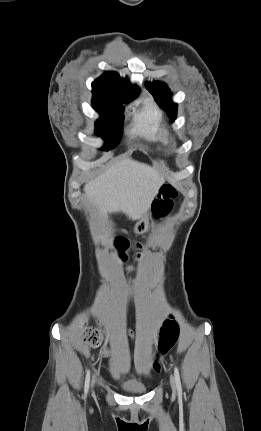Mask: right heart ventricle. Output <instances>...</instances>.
Masks as SVG:
<instances>
[{
	"mask_svg": "<svg viewBox=\"0 0 261 431\" xmlns=\"http://www.w3.org/2000/svg\"><path fill=\"white\" fill-rule=\"evenodd\" d=\"M133 133L159 149L169 144V134L164 125L162 112L151 101L145 102L144 106L135 113Z\"/></svg>",
	"mask_w": 261,
	"mask_h": 431,
	"instance_id": "obj_1",
	"label": "right heart ventricle"
}]
</instances>
